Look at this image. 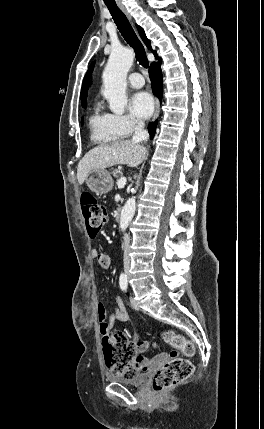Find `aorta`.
I'll return each instance as SVG.
<instances>
[{
  "instance_id": "aorta-1",
  "label": "aorta",
  "mask_w": 264,
  "mask_h": 429,
  "mask_svg": "<svg viewBox=\"0 0 264 429\" xmlns=\"http://www.w3.org/2000/svg\"><path fill=\"white\" fill-rule=\"evenodd\" d=\"M134 53L126 47L114 48L109 56L103 72V95L109 103L112 112L121 114L127 105L126 76L133 64ZM136 210L135 196L129 198L122 208L120 229L126 230Z\"/></svg>"
}]
</instances>
